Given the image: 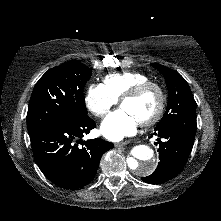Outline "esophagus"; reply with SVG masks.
Wrapping results in <instances>:
<instances>
[{
	"instance_id": "esophagus-1",
	"label": "esophagus",
	"mask_w": 221,
	"mask_h": 221,
	"mask_svg": "<svg viewBox=\"0 0 221 221\" xmlns=\"http://www.w3.org/2000/svg\"><path fill=\"white\" fill-rule=\"evenodd\" d=\"M130 141H123V142H118V143H115V147H121V146H125L127 144H129Z\"/></svg>"
}]
</instances>
